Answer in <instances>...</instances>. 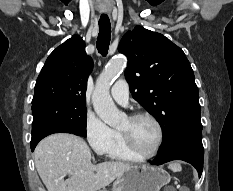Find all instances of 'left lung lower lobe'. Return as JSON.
Segmentation results:
<instances>
[{
	"label": "left lung lower lobe",
	"instance_id": "left-lung-lower-lobe-1",
	"mask_svg": "<svg viewBox=\"0 0 233 191\" xmlns=\"http://www.w3.org/2000/svg\"><path fill=\"white\" fill-rule=\"evenodd\" d=\"M203 157L202 130H192L182 133L160 150L159 157L152 164L161 165L172 160H183L192 164L200 177L203 170Z\"/></svg>",
	"mask_w": 233,
	"mask_h": 191
}]
</instances>
